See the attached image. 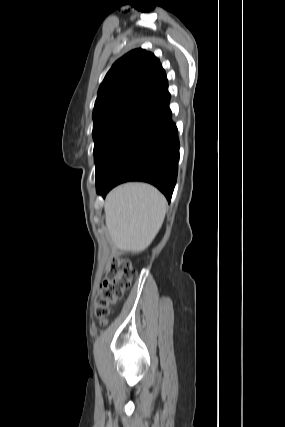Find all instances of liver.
Instances as JSON below:
<instances>
[{"label": "liver", "mask_w": 285, "mask_h": 427, "mask_svg": "<svg viewBox=\"0 0 285 427\" xmlns=\"http://www.w3.org/2000/svg\"><path fill=\"white\" fill-rule=\"evenodd\" d=\"M167 201L153 186L127 183L109 192L105 219L114 245L121 251H144L159 232Z\"/></svg>", "instance_id": "liver-1"}]
</instances>
